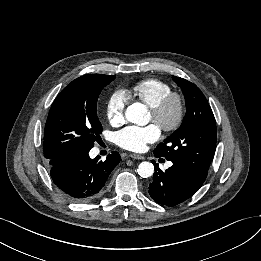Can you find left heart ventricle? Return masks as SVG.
<instances>
[{
	"label": "left heart ventricle",
	"mask_w": 261,
	"mask_h": 261,
	"mask_svg": "<svg viewBox=\"0 0 261 261\" xmlns=\"http://www.w3.org/2000/svg\"><path fill=\"white\" fill-rule=\"evenodd\" d=\"M172 115H173V110L170 111L168 116L171 117ZM149 121H153L151 114L149 115Z\"/></svg>",
	"instance_id": "obj_1"
}]
</instances>
